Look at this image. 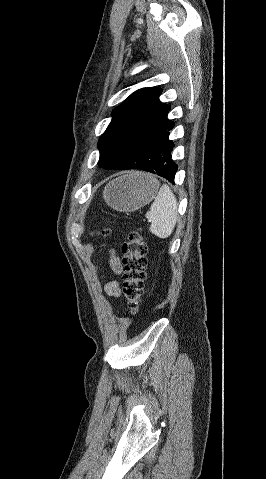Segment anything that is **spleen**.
Instances as JSON below:
<instances>
[{"instance_id": "3e777b00", "label": "spleen", "mask_w": 266, "mask_h": 479, "mask_svg": "<svg viewBox=\"0 0 266 479\" xmlns=\"http://www.w3.org/2000/svg\"><path fill=\"white\" fill-rule=\"evenodd\" d=\"M146 218L151 222L149 230L153 235L166 239L172 234L178 220V203L168 185L160 188Z\"/></svg>"}]
</instances>
